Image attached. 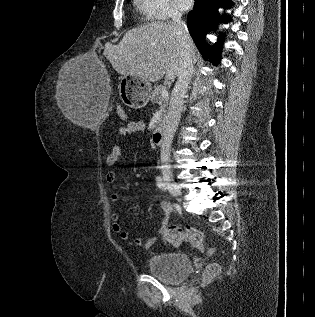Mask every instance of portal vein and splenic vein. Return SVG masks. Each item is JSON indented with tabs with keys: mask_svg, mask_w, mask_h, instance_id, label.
<instances>
[{
	"mask_svg": "<svg viewBox=\"0 0 315 317\" xmlns=\"http://www.w3.org/2000/svg\"><path fill=\"white\" fill-rule=\"evenodd\" d=\"M168 96H169L168 91H167V90H163V91H162V97H163V99H168Z\"/></svg>",
	"mask_w": 315,
	"mask_h": 317,
	"instance_id": "1",
	"label": "portal vein and splenic vein"
}]
</instances>
